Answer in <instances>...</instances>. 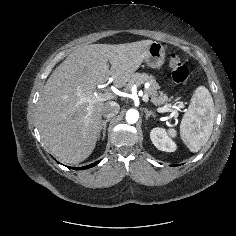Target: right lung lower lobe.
I'll use <instances>...</instances> for the list:
<instances>
[{"mask_svg": "<svg viewBox=\"0 0 236 236\" xmlns=\"http://www.w3.org/2000/svg\"><path fill=\"white\" fill-rule=\"evenodd\" d=\"M98 163H99V161H96L95 163H92V164L87 165V166H85V167H79V168L73 167V169H75V170L88 169V168H90V167H93V166L97 165Z\"/></svg>", "mask_w": 236, "mask_h": 236, "instance_id": "obj_1", "label": "right lung lower lobe"}]
</instances>
